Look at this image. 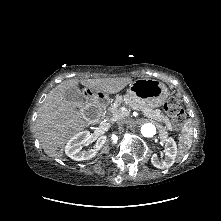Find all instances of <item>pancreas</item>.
<instances>
[{
    "label": "pancreas",
    "mask_w": 221,
    "mask_h": 221,
    "mask_svg": "<svg viewBox=\"0 0 221 221\" xmlns=\"http://www.w3.org/2000/svg\"><path fill=\"white\" fill-rule=\"evenodd\" d=\"M125 105L131 109L142 111L144 115L152 120H155L160 123H164L165 127L169 130H172V124L168 116L160 112V110H153L150 107L142 106L133 102L126 96H117L114 104H112L104 113L103 116L109 120H116L126 116L125 113L121 111V106Z\"/></svg>",
    "instance_id": "pancreas-1"
}]
</instances>
